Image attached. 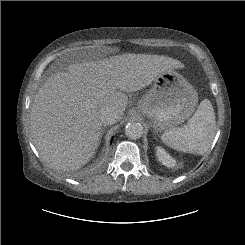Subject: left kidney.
<instances>
[{"label":"left kidney","mask_w":245,"mask_h":245,"mask_svg":"<svg viewBox=\"0 0 245 245\" xmlns=\"http://www.w3.org/2000/svg\"><path fill=\"white\" fill-rule=\"evenodd\" d=\"M156 155L158 157V160L167 167H174L176 164V161L168 154L166 151L161 148H156Z\"/></svg>","instance_id":"1"}]
</instances>
